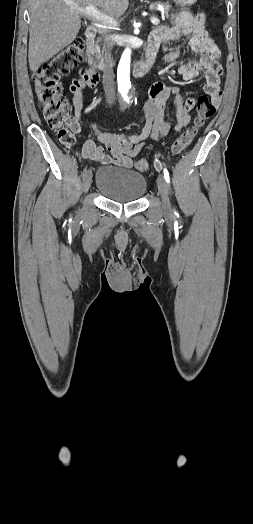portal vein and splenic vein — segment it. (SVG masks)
Returning a JSON list of instances; mask_svg holds the SVG:
<instances>
[{
	"label": "portal vein and splenic vein",
	"mask_w": 253,
	"mask_h": 524,
	"mask_svg": "<svg viewBox=\"0 0 253 524\" xmlns=\"http://www.w3.org/2000/svg\"><path fill=\"white\" fill-rule=\"evenodd\" d=\"M77 13L82 14L88 18L94 19L104 25L118 26V22L111 16L101 13L97 7L94 5H89L86 7H79L77 5L72 6ZM151 23L153 25H158L160 20L157 17L151 18Z\"/></svg>",
	"instance_id": "obj_1"
}]
</instances>
